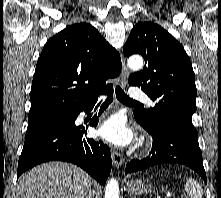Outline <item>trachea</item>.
Returning <instances> with one entry per match:
<instances>
[{"mask_svg": "<svg viewBox=\"0 0 221 198\" xmlns=\"http://www.w3.org/2000/svg\"><path fill=\"white\" fill-rule=\"evenodd\" d=\"M115 91L116 97L120 102L125 104H140L139 102L130 99L119 86H116Z\"/></svg>", "mask_w": 221, "mask_h": 198, "instance_id": "trachea-1", "label": "trachea"}]
</instances>
